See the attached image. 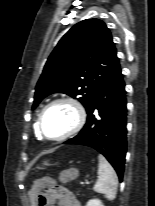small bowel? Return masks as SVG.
<instances>
[{
    "mask_svg": "<svg viewBox=\"0 0 155 206\" xmlns=\"http://www.w3.org/2000/svg\"><path fill=\"white\" fill-rule=\"evenodd\" d=\"M39 186V181H37L35 187ZM31 196L35 197V193L31 192ZM49 199L55 206H81L80 202L76 199L71 191L58 185H55L52 188ZM45 206H48V200Z\"/></svg>",
    "mask_w": 155,
    "mask_h": 206,
    "instance_id": "small-bowel-1",
    "label": "small bowel"
}]
</instances>
